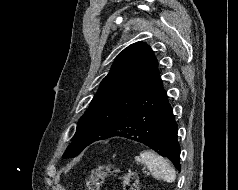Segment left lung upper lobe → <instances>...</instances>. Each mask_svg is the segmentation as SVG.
<instances>
[{
	"instance_id": "left-lung-upper-lobe-1",
	"label": "left lung upper lobe",
	"mask_w": 238,
	"mask_h": 190,
	"mask_svg": "<svg viewBox=\"0 0 238 190\" xmlns=\"http://www.w3.org/2000/svg\"><path fill=\"white\" fill-rule=\"evenodd\" d=\"M157 66L154 52L147 44L137 42L125 48L79 120L72 143L63 157H74L86 146L104 139L120 116L159 77Z\"/></svg>"
}]
</instances>
